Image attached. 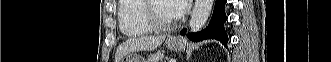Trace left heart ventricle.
Instances as JSON below:
<instances>
[{"mask_svg": "<svg viewBox=\"0 0 331 62\" xmlns=\"http://www.w3.org/2000/svg\"><path fill=\"white\" fill-rule=\"evenodd\" d=\"M155 14L163 21H172L176 18L169 1H156L154 4Z\"/></svg>", "mask_w": 331, "mask_h": 62, "instance_id": "obj_1", "label": "left heart ventricle"}]
</instances>
